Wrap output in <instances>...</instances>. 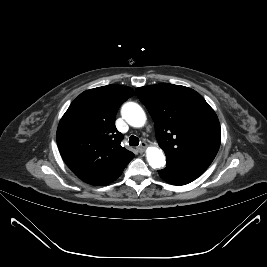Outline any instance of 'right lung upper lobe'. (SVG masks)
<instances>
[{
    "label": "right lung upper lobe",
    "instance_id": "1",
    "mask_svg": "<svg viewBox=\"0 0 267 267\" xmlns=\"http://www.w3.org/2000/svg\"><path fill=\"white\" fill-rule=\"evenodd\" d=\"M135 93L107 85L81 93L63 115L57 144L63 160L84 182L100 186L121 174L134 154L120 145L115 127L120 105Z\"/></svg>",
    "mask_w": 267,
    "mask_h": 267
}]
</instances>
